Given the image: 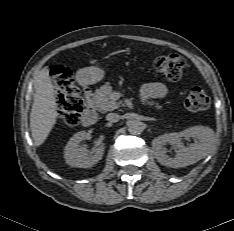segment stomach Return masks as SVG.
<instances>
[{
    "mask_svg": "<svg viewBox=\"0 0 234 231\" xmlns=\"http://www.w3.org/2000/svg\"><path fill=\"white\" fill-rule=\"evenodd\" d=\"M105 77L102 68L91 66L80 69L77 72V79L81 84L90 85L100 82Z\"/></svg>",
    "mask_w": 234,
    "mask_h": 231,
    "instance_id": "stomach-1",
    "label": "stomach"
}]
</instances>
